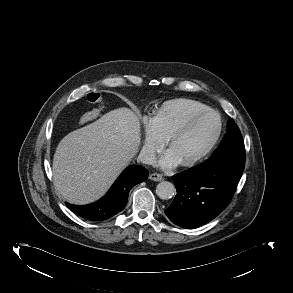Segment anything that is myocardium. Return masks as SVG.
<instances>
[{
	"instance_id": "f54148a6",
	"label": "myocardium",
	"mask_w": 293,
	"mask_h": 293,
	"mask_svg": "<svg viewBox=\"0 0 293 293\" xmlns=\"http://www.w3.org/2000/svg\"><path fill=\"white\" fill-rule=\"evenodd\" d=\"M209 114H213L217 117L218 120V125H217V130L215 132V134L213 135V137L211 138V140L209 141V143L206 145V147L195 157L181 162V164L185 167H191L194 166L198 163H200L201 161H203L208 154L213 150V148L215 147V145L217 144L221 132H222V118L221 115L214 109H206L200 112H197L193 115H191L190 117H188L177 129H175L170 136L167 138V146L170 147V145L172 144V142L177 139L178 137H180L181 135H183L193 124L194 122H196L198 119H200L203 116L209 115Z\"/></svg>"
}]
</instances>
